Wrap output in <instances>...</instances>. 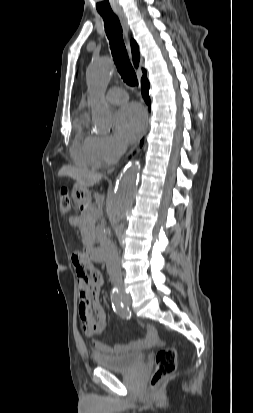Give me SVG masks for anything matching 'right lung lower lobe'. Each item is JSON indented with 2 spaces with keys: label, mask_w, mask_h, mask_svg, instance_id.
Masks as SVG:
<instances>
[{
  "label": "right lung lower lobe",
  "mask_w": 253,
  "mask_h": 413,
  "mask_svg": "<svg viewBox=\"0 0 253 413\" xmlns=\"http://www.w3.org/2000/svg\"><path fill=\"white\" fill-rule=\"evenodd\" d=\"M141 84H142V95L145 99V102L148 104L149 108H150V99H149V95H148V91H149V81L147 80L146 77V73L143 74V77L141 79ZM142 145V143H141Z\"/></svg>",
  "instance_id": "1"
}]
</instances>
